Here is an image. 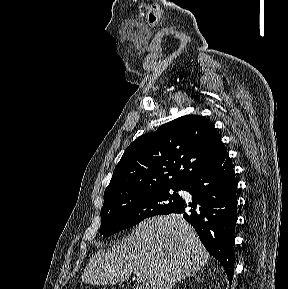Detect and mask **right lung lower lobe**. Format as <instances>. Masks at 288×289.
I'll return each instance as SVG.
<instances>
[{
  "mask_svg": "<svg viewBox=\"0 0 288 289\" xmlns=\"http://www.w3.org/2000/svg\"><path fill=\"white\" fill-rule=\"evenodd\" d=\"M227 152L207 169L189 179L182 187L192 202H181L170 213L182 214L198 233L201 242L233 279L234 233L237 220V183Z\"/></svg>",
  "mask_w": 288,
  "mask_h": 289,
  "instance_id": "1",
  "label": "right lung lower lobe"
}]
</instances>
